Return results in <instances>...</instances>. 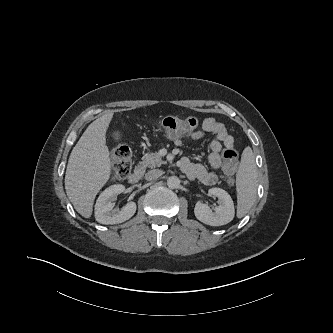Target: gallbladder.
Wrapping results in <instances>:
<instances>
[{
  "label": "gallbladder",
  "instance_id": "bac80fb5",
  "mask_svg": "<svg viewBox=\"0 0 333 333\" xmlns=\"http://www.w3.org/2000/svg\"><path fill=\"white\" fill-rule=\"evenodd\" d=\"M112 137L114 138V140L119 141L121 139V133L119 131H114L112 133Z\"/></svg>",
  "mask_w": 333,
  "mask_h": 333
}]
</instances>
